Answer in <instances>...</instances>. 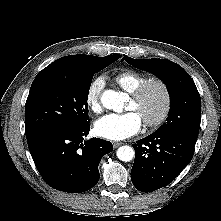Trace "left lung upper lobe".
<instances>
[{"mask_svg": "<svg viewBox=\"0 0 221 221\" xmlns=\"http://www.w3.org/2000/svg\"><path fill=\"white\" fill-rule=\"evenodd\" d=\"M134 67L156 74L170 93L167 122L156 132L180 131L198 134L201 122V98L190 75L178 64L164 59L123 57Z\"/></svg>", "mask_w": 221, "mask_h": 221, "instance_id": "left-lung-upper-lobe-1", "label": "left lung upper lobe"}]
</instances>
